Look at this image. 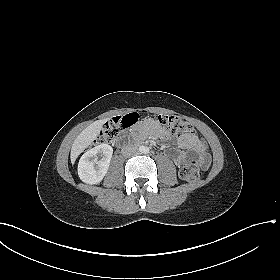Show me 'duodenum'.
Returning a JSON list of instances; mask_svg holds the SVG:
<instances>
[{"label":"duodenum","mask_w":280,"mask_h":280,"mask_svg":"<svg viewBox=\"0 0 280 280\" xmlns=\"http://www.w3.org/2000/svg\"><path fill=\"white\" fill-rule=\"evenodd\" d=\"M124 145H125L124 143H119V144H118V147L121 148V147H123Z\"/></svg>","instance_id":"duodenum-1"}]
</instances>
